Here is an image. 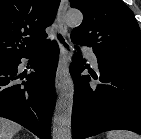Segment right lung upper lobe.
<instances>
[{
    "label": "right lung upper lobe",
    "instance_id": "cb5924a9",
    "mask_svg": "<svg viewBox=\"0 0 141 139\" xmlns=\"http://www.w3.org/2000/svg\"><path fill=\"white\" fill-rule=\"evenodd\" d=\"M60 0H0V58L14 59L49 43L45 29Z\"/></svg>",
    "mask_w": 141,
    "mask_h": 139
}]
</instances>
